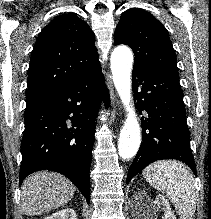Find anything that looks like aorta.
Returning a JSON list of instances; mask_svg holds the SVG:
<instances>
[{"instance_id":"1","label":"aorta","mask_w":211,"mask_h":219,"mask_svg":"<svg viewBox=\"0 0 211 219\" xmlns=\"http://www.w3.org/2000/svg\"><path fill=\"white\" fill-rule=\"evenodd\" d=\"M132 66V51L127 46L116 47L111 55V71L114 86L127 112L118 141L119 155L123 159H130L136 155L141 143L140 126L131 98Z\"/></svg>"}]
</instances>
